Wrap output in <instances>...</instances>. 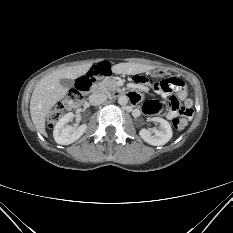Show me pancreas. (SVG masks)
I'll return each instance as SVG.
<instances>
[{
    "label": "pancreas",
    "mask_w": 233,
    "mask_h": 233,
    "mask_svg": "<svg viewBox=\"0 0 233 233\" xmlns=\"http://www.w3.org/2000/svg\"><path fill=\"white\" fill-rule=\"evenodd\" d=\"M99 85L105 92L115 91L117 89V82L112 78L103 80Z\"/></svg>",
    "instance_id": "obj_1"
}]
</instances>
